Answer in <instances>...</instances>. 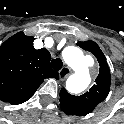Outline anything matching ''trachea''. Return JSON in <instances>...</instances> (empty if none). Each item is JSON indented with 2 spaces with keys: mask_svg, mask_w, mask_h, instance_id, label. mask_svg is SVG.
Wrapping results in <instances>:
<instances>
[{
  "mask_svg": "<svg viewBox=\"0 0 124 124\" xmlns=\"http://www.w3.org/2000/svg\"><path fill=\"white\" fill-rule=\"evenodd\" d=\"M62 66L63 62L60 58H56L51 61V67L56 71H59L62 68Z\"/></svg>",
  "mask_w": 124,
  "mask_h": 124,
  "instance_id": "3493384b",
  "label": "trachea"
}]
</instances>
